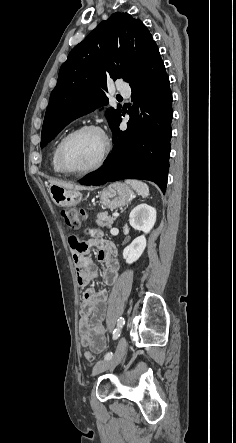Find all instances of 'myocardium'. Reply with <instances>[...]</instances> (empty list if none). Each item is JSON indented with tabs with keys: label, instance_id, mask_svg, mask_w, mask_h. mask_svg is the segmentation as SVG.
Masks as SVG:
<instances>
[{
	"label": "myocardium",
	"instance_id": "obj_1",
	"mask_svg": "<svg viewBox=\"0 0 236 443\" xmlns=\"http://www.w3.org/2000/svg\"><path fill=\"white\" fill-rule=\"evenodd\" d=\"M86 131H94V132L99 133L102 136L103 141H104V147H103L102 153H101L98 161L96 162V164L93 165L92 167H90L88 169H84V170H73V169H70L66 165L65 160H64V150H65V147H66V145L68 144V142L71 139H73L77 135H79V134H81L83 132H86ZM110 149H111V144H110L109 138L107 137V135L104 132V130L100 126L95 125V124H85V125H82V126L76 128V129H74L73 131L69 132L63 138V140L61 141V143H60V145L58 147V151H57L58 164H59L61 170L64 173H67V174L79 175V176L80 175L91 174V173H94V172L98 171L103 166V164L105 163V161H106V159H107V157L109 155Z\"/></svg>",
	"mask_w": 236,
	"mask_h": 443
}]
</instances>
